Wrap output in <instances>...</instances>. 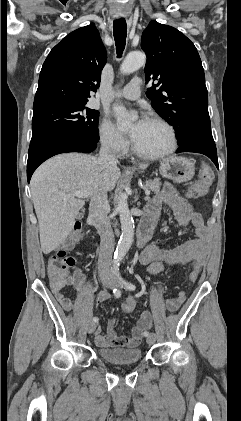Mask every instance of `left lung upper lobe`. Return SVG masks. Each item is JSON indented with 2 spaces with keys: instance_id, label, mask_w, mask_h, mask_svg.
I'll return each mask as SVG.
<instances>
[{
  "instance_id": "obj_1",
  "label": "left lung upper lobe",
  "mask_w": 241,
  "mask_h": 421,
  "mask_svg": "<svg viewBox=\"0 0 241 421\" xmlns=\"http://www.w3.org/2000/svg\"><path fill=\"white\" fill-rule=\"evenodd\" d=\"M141 48L147 56L146 82L158 81L146 96L174 127L178 144L211 126L204 70L194 44L177 29L151 21L142 33Z\"/></svg>"
}]
</instances>
